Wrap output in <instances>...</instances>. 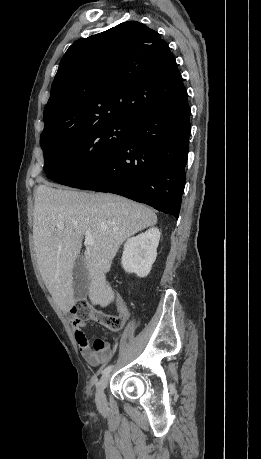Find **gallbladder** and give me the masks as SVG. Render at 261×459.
<instances>
[{
    "instance_id": "gallbladder-1",
    "label": "gallbladder",
    "mask_w": 261,
    "mask_h": 459,
    "mask_svg": "<svg viewBox=\"0 0 261 459\" xmlns=\"http://www.w3.org/2000/svg\"><path fill=\"white\" fill-rule=\"evenodd\" d=\"M88 280L85 256L81 254L73 268V291L76 300H80L86 295Z\"/></svg>"
}]
</instances>
